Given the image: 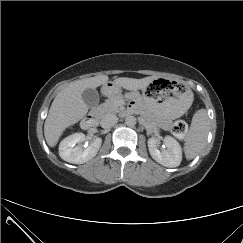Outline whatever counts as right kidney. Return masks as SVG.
I'll list each match as a JSON object with an SVG mask.
<instances>
[{
	"mask_svg": "<svg viewBox=\"0 0 243 243\" xmlns=\"http://www.w3.org/2000/svg\"><path fill=\"white\" fill-rule=\"evenodd\" d=\"M101 144L99 137L88 142L83 133H74L60 142L59 155L66 162L83 164L96 156Z\"/></svg>",
	"mask_w": 243,
	"mask_h": 243,
	"instance_id": "1",
	"label": "right kidney"
}]
</instances>
